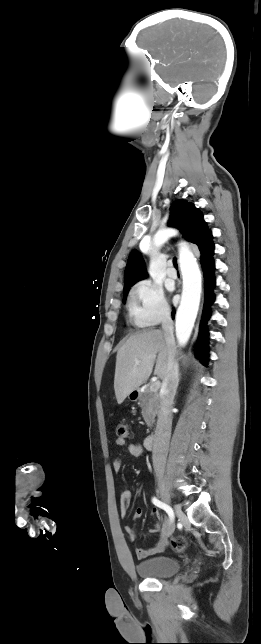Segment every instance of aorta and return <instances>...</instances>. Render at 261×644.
<instances>
[{
	"mask_svg": "<svg viewBox=\"0 0 261 644\" xmlns=\"http://www.w3.org/2000/svg\"><path fill=\"white\" fill-rule=\"evenodd\" d=\"M165 240L166 236L158 233L154 239V245L160 247ZM179 263L183 278V292L176 314V336L179 345L184 346L190 338L199 308L201 277L196 260L189 251L184 250L180 253Z\"/></svg>",
	"mask_w": 261,
	"mask_h": 644,
	"instance_id": "762f6f07",
	"label": "aorta"
}]
</instances>
